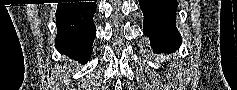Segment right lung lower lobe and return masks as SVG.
<instances>
[{"instance_id":"98d812e1","label":"right lung lower lobe","mask_w":237,"mask_h":90,"mask_svg":"<svg viewBox=\"0 0 237 90\" xmlns=\"http://www.w3.org/2000/svg\"><path fill=\"white\" fill-rule=\"evenodd\" d=\"M96 2L59 3L56 11V48L82 64L91 57L96 35Z\"/></svg>"}]
</instances>
